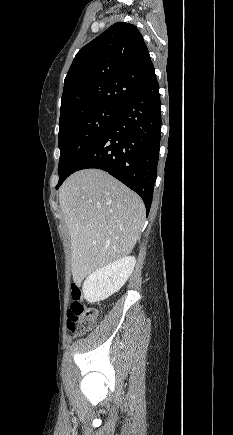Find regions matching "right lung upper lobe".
Returning <instances> with one entry per match:
<instances>
[{"instance_id":"1","label":"right lung upper lobe","mask_w":233,"mask_h":435,"mask_svg":"<svg viewBox=\"0 0 233 435\" xmlns=\"http://www.w3.org/2000/svg\"><path fill=\"white\" fill-rule=\"evenodd\" d=\"M155 76L137 27L115 23L76 54L65 77L59 123L101 106L121 108Z\"/></svg>"}]
</instances>
